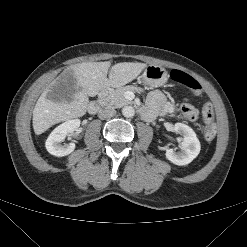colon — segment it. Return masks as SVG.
<instances>
[{
    "mask_svg": "<svg viewBox=\"0 0 247 247\" xmlns=\"http://www.w3.org/2000/svg\"><path fill=\"white\" fill-rule=\"evenodd\" d=\"M171 78L175 82L187 87L195 96L201 95V85L190 75L180 70H173L171 72ZM180 114L188 122L197 120L199 116L198 110L191 104H183L180 108ZM202 118L204 122L203 135L205 139L213 140L216 136V126L214 124V110L211 104L207 103L203 106Z\"/></svg>",
    "mask_w": 247,
    "mask_h": 247,
    "instance_id": "colon-1",
    "label": "colon"
}]
</instances>
